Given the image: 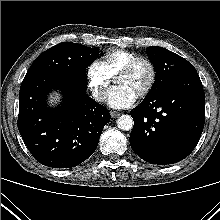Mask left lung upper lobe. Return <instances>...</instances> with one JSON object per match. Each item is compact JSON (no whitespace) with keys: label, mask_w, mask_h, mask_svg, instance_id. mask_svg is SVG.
<instances>
[{"label":"left lung upper lobe","mask_w":220,"mask_h":220,"mask_svg":"<svg viewBox=\"0 0 220 220\" xmlns=\"http://www.w3.org/2000/svg\"><path fill=\"white\" fill-rule=\"evenodd\" d=\"M146 53L156 72V80L148 94L160 91L180 75L196 72L190 62L165 48L151 46Z\"/></svg>","instance_id":"5c2ea615"}]
</instances>
